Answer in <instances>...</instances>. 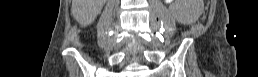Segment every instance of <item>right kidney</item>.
Returning a JSON list of instances; mask_svg holds the SVG:
<instances>
[{
	"mask_svg": "<svg viewBox=\"0 0 258 77\" xmlns=\"http://www.w3.org/2000/svg\"><path fill=\"white\" fill-rule=\"evenodd\" d=\"M99 1L101 2L99 4V6L92 7L90 10L91 16H90L89 22H91L97 16V14L100 13V11H101L103 2H105V0H99Z\"/></svg>",
	"mask_w": 258,
	"mask_h": 77,
	"instance_id": "ca27d5eb",
	"label": "right kidney"
}]
</instances>
